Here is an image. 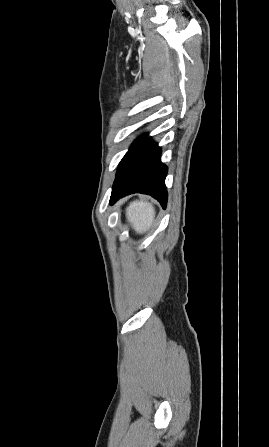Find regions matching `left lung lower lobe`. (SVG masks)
Here are the masks:
<instances>
[{"label":"left lung lower lobe","mask_w":269,"mask_h":447,"mask_svg":"<svg viewBox=\"0 0 269 447\" xmlns=\"http://www.w3.org/2000/svg\"><path fill=\"white\" fill-rule=\"evenodd\" d=\"M160 156L161 149L149 138L136 146L116 174L110 204L128 194L144 193L153 196L166 208L164 181L167 167L162 164Z\"/></svg>","instance_id":"0a47b994"}]
</instances>
